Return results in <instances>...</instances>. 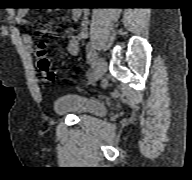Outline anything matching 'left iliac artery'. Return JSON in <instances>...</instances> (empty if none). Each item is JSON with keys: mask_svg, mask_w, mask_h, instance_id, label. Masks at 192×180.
<instances>
[{"mask_svg": "<svg viewBox=\"0 0 192 180\" xmlns=\"http://www.w3.org/2000/svg\"><path fill=\"white\" fill-rule=\"evenodd\" d=\"M89 58L91 61L92 68H94L96 64V52L93 49L89 50Z\"/></svg>", "mask_w": 192, "mask_h": 180, "instance_id": "1", "label": "left iliac artery"}]
</instances>
